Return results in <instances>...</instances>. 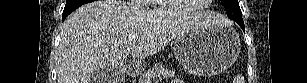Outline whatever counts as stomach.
Wrapping results in <instances>:
<instances>
[{
	"label": "stomach",
	"instance_id": "1",
	"mask_svg": "<svg viewBox=\"0 0 307 83\" xmlns=\"http://www.w3.org/2000/svg\"><path fill=\"white\" fill-rule=\"evenodd\" d=\"M241 51L236 31L228 26L209 25L180 34L174 54L181 66L198 76H213L230 67Z\"/></svg>",
	"mask_w": 307,
	"mask_h": 83
}]
</instances>
